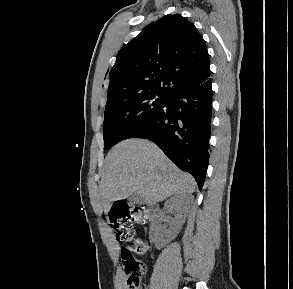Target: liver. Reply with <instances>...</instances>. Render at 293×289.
I'll use <instances>...</instances> for the list:
<instances>
[{
	"label": "liver",
	"mask_w": 293,
	"mask_h": 289,
	"mask_svg": "<svg viewBox=\"0 0 293 289\" xmlns=\"http://www.w3.org/2000/svg\"><path fill=\"white\" fill-rule=\"evenodd\" d=\"M196 182L179 170L152 142L127 139L107 154L99 184L105 202L137 193L144 203L155 204L173 194L193 193Z\"/></svg>",
	"instance_id": "liver-1"
}]
</instances>
